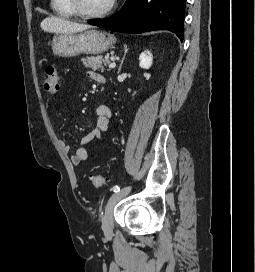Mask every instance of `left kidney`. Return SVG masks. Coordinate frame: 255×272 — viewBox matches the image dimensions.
<instances>
[{
  "instance_id": "left-kidney-1",
  "label": "left kidney",
  "mask_w": 255,
  "mask_h": 272,
  "mask_svg": "<svg viewBox=\"0 0 255 272\" xmlns=\"http://www.w3.org/2000/svg\"><path fill=\"white\" fill-rule=\"evenodd\" d=\"M139 66L143 69H149L152 66L153 57L150 51H144L139 56Z\"/></svg>"
}]
</instances>
